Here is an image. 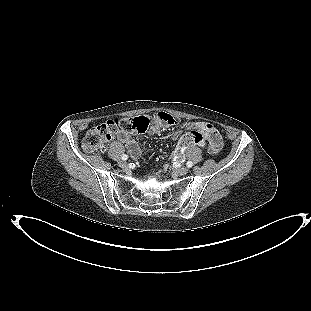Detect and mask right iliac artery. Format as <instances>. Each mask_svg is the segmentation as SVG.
<instances>
[{
	"mask_svg": "<svg viewBox=\"0 0 311 311\" xmlns=\"http://www.w3.org/2000/svg\"><path fill=\"white\" fill-rule=\"evenodd\" d=\"M121 158H122L123 160H127V159H128V156H127L126 154H123V155L121 156Z\"/></svg>",
	"mask_w": 311,
	"mask_h": 311,
	"instance_id": "1",
	"label": "right iliac artery"
}]
</instances>
